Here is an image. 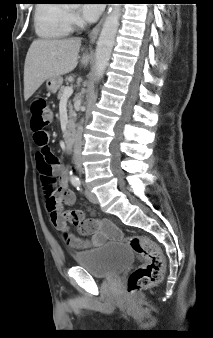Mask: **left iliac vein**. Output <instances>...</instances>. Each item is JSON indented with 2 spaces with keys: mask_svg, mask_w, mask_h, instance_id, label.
Listing matches in <instances>:
<instances>
[{
  "mask_svg": "<svg viewBox=\"0 0 213 338\" xmlns=\"http://www.w3.org/2000/svg\"><path fill=\"white\" fill-rule=\"evenodd\" d=\"M86 195L91 203H94V204L98 203V198L93 192L87 189Z\"/></svg>",
  "mask_w": 213,
  "mask_h": 338,
  "instance_id": "4c4485c4",
  "label": "left iliac vein"
}]
</instances>
